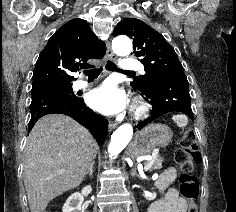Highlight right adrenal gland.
Segmentation results:
<instances>
[{"label":"right adrenal gland","instance_id":"1","mask_svg":"<svg viewBox=\"0 0 236 212\" xmlns=\"http://www.w3.org/2000/svg\"><path fill=\"white\" fill-rule=\"evenodd\" d=\"M94 164H95V162L93 161V162L91 163L90 167L88 168V170L86 171L85 177H86L87 175H89L90 177L93 176Z\"/></svg>","mask_w":236,"mask_h":212}]
</instances>
